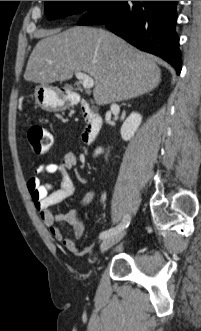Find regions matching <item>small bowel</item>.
Here are the masks:
<instances>
[{
    "label": "small bowel",
    "mask_w": 201,
    "mask_h": 331,
    "mask_svg": "<svg viewBox=\"0 0 201 331\" xmlns=\"http://www.w3.org/2000/svg\"><path fill=\"white\" fill-rule=\"evenodd\" d=\"M77 157L74 153H67L61 162H45L40 164L33 175L27 181V189L31 199L40 214L44 225L50 230L52 236L70 252L82 256L90 251V247L81 248L78 246L84 233V221L82 211L92 202L95 191H88L81 199L76 209H71L66 214L54 215L50 207L68 199L74 192V184L70 171L75 167ZM47 175H57L58 186L52 183H44L42 178ZM79 181L88 183L85 176L79 175ZM58 223H65L73 227V236L66 237Z\"/></svg>",
    "instance_id": "1"
}]
</instances>
